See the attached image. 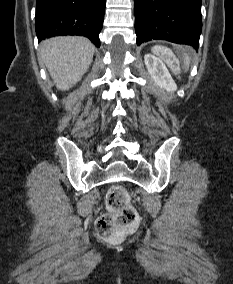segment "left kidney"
Instances as JSON below:
<instances>
[{
  "mask_svg": "<svg viewBox=\"0 0 233 284\" xmlns=\"http://www.w3.org/2000/svg\"><path fill=\"white\" fill-rule=\"evenodd\" d=\"M144 61L151 78L157 86L168 92L176 90V84L160 58L148 53L144 56Z\"/></svg>",
  "mask_w": 233,
  "mask_h": 284,
  "instance_id": "left-kidney-1",
  "label": "left kidney"
}]
</instances>
